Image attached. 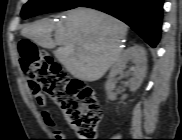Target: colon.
<instances>
[{"label": "colon", "instance_id": "obj_1", "mask_svg": "<svg viewBox=\"0 0 182 140\" xmlns=\"http://www.w3.org/2000/svg\"><path fill=\"white\" fill-rule=\"evenodd\" d=\"M20 65L37 99H47L61 111L67 126L81 140H93L102 117L94 89L71 77L42 48L30 40L18 44Z\"/></svg>", "mask_w": 182, "mask_h": 140}]
</instances>
